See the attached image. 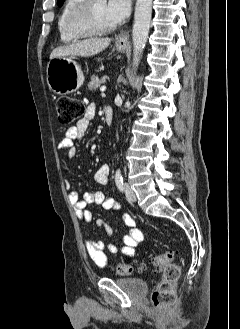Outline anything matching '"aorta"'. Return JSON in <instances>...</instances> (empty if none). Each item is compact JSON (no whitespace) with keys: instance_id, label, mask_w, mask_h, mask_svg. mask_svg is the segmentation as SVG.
Listing matches in <instances>:
<instances>
[{"instance_id":"obj_1","label":"aorta","mask_w":240,"mask_h":329,"mask_svg":"<svg viewBox=\"0 0 240 329\" xmlns=\"http://www.w3.org/2000/svg\"><path fill=\"white\" fill-rule=\"evenodd\" d=\"M152 16V0H137L134 13L133 65L138 67L142 52L145 48Z\"/></svg>"}]
</instances>
